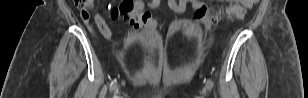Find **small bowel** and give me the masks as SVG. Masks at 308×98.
<instances>
[{
  "label": "small bowel",
  "mask_w": 308,
  "mask_h": 98,
  "mask_svg": "<svg viewBox=\"0 0 308 98\" xmlns=\"http://www.w3.org/2000/svg\"><path fill=\"white\" fill-rule=\"evenodd\" d=\"M125 4H129L131 9H144L145 3L141 0L135 1H124ZM160 4V0H152L147 3L150 8H156ZM168 5L170 9L177 13H183L188 6L192 7L194 10H197L205 5L204 1L199 0H169ZM114 19L119 18V16L112 15ZM94 21L101 32L102 35L108 36L110 35V29L105 21V19L101 16L100 13L96 12L94 14ZM134 28V26H133Z\"/></svg>",
  "instance_id": "c3829d8e"
}]
</instances>
